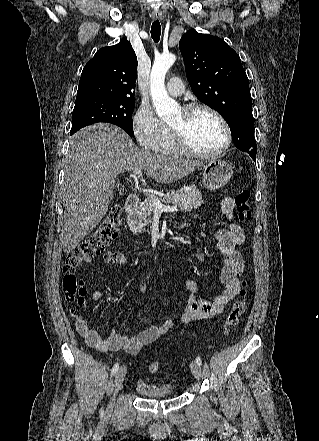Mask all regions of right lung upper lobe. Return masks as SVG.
Here are the masks:
<instances>
[{"instance_id":"right-lung-upper-lobe-1","label":"right lung upper lobe","mask_w":319,"mask_h":441,"mask_svg":"<svg viewBox=\"0 0 319 441\" xmlns=\"http://www.w3.org/2000/svg\"><path fill=\"white\" fill-rule=\"evenodd\" d=\"M137 57L123 38L111 47L99 49L83 68L76 99L118 98L134 100Z\"/></svg>"}]
</instances>
